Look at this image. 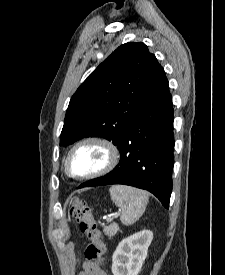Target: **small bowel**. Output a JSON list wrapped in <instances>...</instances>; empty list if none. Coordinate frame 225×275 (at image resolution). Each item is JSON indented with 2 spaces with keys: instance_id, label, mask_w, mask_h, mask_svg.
<instances>
[{
  "instance_id": "obj_1",
  "label": "small bowel",
  "mask_w": 225,
  "mask_h": 275,
  "mask_svg": "<svg viewBox=\"0 0 225 275\" xmlns=\"http://www.w3.org/2000/svg\"><path fill=\"white\" fill-rule=\"evenodd\" d=\"M78 275H107L98 265L92 261H86L83 263L82 270Z\"/></svg>"
}]
</instances>
